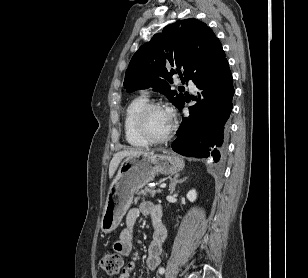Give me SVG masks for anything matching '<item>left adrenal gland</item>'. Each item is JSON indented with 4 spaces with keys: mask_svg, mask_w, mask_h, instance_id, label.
<instances>
[{
    "mask_svg": "<svg viewBox=\"0 0 308 278\" xmlns=\"http://www.w3.org/2000/svg\"><path fill=\"white\" fill-rule=\"evenodd\" d=\"M178 177H179V174H176L170 181V184H169L170 194H172L175 191V187L178 183H183L187 179V177H185L183 179L178 180Z\"/></svg>",
    "mask_w": 308,
    "mask_h": 278,
    "instance_id": "a2214340",
    "label": "left adrenal gland"
}]
</instances>
